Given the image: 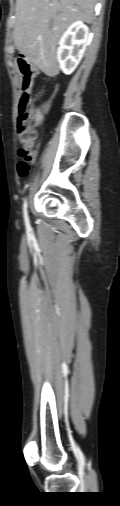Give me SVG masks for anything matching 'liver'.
<instances>
[{"instance_id": "liver-1", "label": "liver", "mask_w": 120, "mask_h": 506, "mask_svg": "<svg viewBox=\"0 0 120 506\" xmlns=\"http://www.w3.org/2000/svg\"><path fill=\"white\" fill-rule=\"evenodd\" d=\"M96 1L16 0V49L46 74H58L56 49L60 36L77 20L91 23Z\"/></svg>"}]
</instances>
